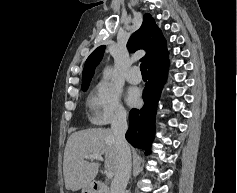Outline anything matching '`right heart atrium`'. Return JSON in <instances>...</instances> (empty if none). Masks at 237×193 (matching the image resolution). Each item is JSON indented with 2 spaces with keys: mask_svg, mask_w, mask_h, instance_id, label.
I'll return each mask as SVG.
<instances>
[{
  "mask_svg": "<svg viewBox=\"0 0 237 193\" xmlns=\"http://www.w3.org/2000/svg\"><path fill=\"white\" fill-rule=\"evenodd\" d=\"M91 118L97 124L123 122L127 112L120 100V92L109 83H100L88 99Z\"/></svg>",
  "mask_w": 237,
  "mask_h": 193,
  "instance_id": "right-heart-atrium-1",
  "label": "right heart atrium"
}]
</instances>
